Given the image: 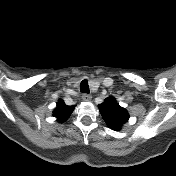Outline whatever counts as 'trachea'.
Segmentation results:
<instances>
[{"label": "trachea", "instance_id": "obj_1", "mask_svg": "<svg viewBox=\"0 0 176 176\" xmlns=\"http://www.w3.org/2000/svg\"><path fill=\"white\" fill-rule=\"evenodd\" d=\"M80 91L82 93H90V90H89V85H88V81L87 80H83L81 83H80Z\"/></svg>", "mask_w": 176, "mask_h": 176}]
</instances>
